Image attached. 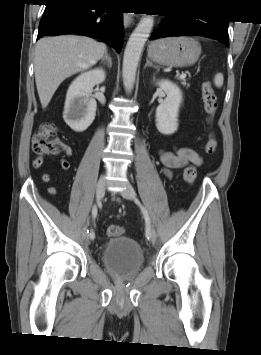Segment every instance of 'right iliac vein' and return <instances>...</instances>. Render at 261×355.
<instances>
[{
	"instance_id": "right-iliac-vein-1",
	"label": "right iliac vein",
	"mask_w": 261,
	"mask_h": 355,
	"mask_svg": "<svg viewBox=\"0 0 261 355\" xmlns=\"http://www.w3.org/2000/svg\"><path fill=\"white\" fill-rule=\"evenodd\" d=\"M104 192H105V179L104 178H100L98 180L97 186H96V198L98 201H100L103 196H104ZM84 238H86V227H84L83 229V235Z\"/></svg>"
}]
</instances>
